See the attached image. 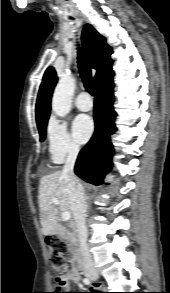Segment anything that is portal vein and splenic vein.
Here are the masks:
<instances>
[{"label":"portal vein and splenic vein","instance_id":"18ae733b","mask_svg":"<svg viewBox=\"0 0 170 293\" xmlns=\"http://www.w3.org/2000/svg\"><path fill=\"white\" fill-rule=\"evenodd\" d=\"M52 203L55 204V205H59V201H58L57 198H53V199H52ZM70 218H71V214H70V212H63V213H62V219H63L64 221H68Z\"/></svg>","mask_w":170,"mask_h":293}]
</instances>
